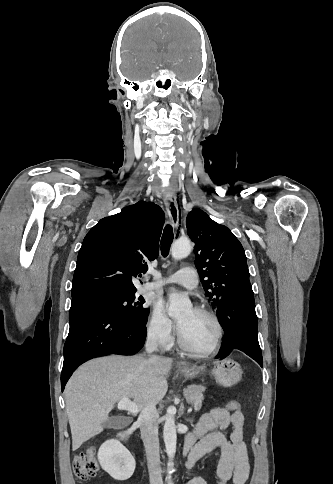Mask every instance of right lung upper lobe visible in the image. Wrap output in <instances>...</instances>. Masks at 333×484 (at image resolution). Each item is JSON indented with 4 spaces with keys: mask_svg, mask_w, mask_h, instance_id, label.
I'll use <instances>...</instances> for the list:
<instances>
[{
    "mask_svg": "<svg viewBox=\"0 0 333 484\" xmlns=\"http://www.w3.org/2000/svg\"><path fill=\"white\" fill-rule=\"evenodd\" d=\"M164 222L163 210L144 201L101 219L79 250L72 297L100 290L135 293V278L141 277L148 269L147 262L159 255Z\"/></svg>",
    "mask_w": 333,
    "mask_h": 484,
    "instance_id": "cb5924a9",
    "label": "right lung upper lobe"
}]
</instances>
